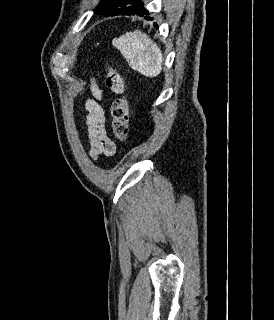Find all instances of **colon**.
Masks as SVG:
<instances>
[{
	"instance_id": "colon-1",
	"label": "colon",
	"mask_w": 274,
	"mask_h": 320,
	"mask_svg": "<svg viewBox=\"0 0 274 320\" xmlns=\"http://www.w3.org/2000/svg\"><path fill=\"white\" fill-rule=\"evenodd\" d=\"M109 87L119 95L111 107L112 131L117 138H125L130 131V107L125 92V80L120 71L113 67L107 69Z\"/></svg>"
}]
</instances>
